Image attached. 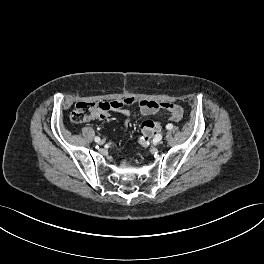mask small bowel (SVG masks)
<instances>
[{
	"mask_svg": "<svg viewBox=\"0 0 264 264\" xmlns=\"http://www.w3.org/2000/svg\"><path fill=\"white\" fill-rule=\"evenodd\" d=\"M133 103L129 106H137L138 114L141 116L154 115L160 110H166L170 112V119L172 121H179L183 116V109L181 106L172 102H159L151 100H136L131 98ZM125 118V125L128 124L130 117L132 116L131 111L127 107L117 109Z\"/></svg>",
	"mask_w": 264,
	"mask_h": 264,
	"instance_id": "1",
	"label": "small bowel"
}]
</instances>
